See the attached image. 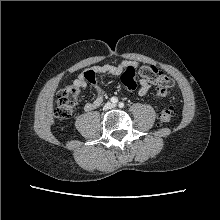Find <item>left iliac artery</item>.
I'll return each mask as SVG.
<instances>
[{"instance_id":"1","label":"left iliac artery","mask_w":220,"mask_h":220,"mask_svg":"<svg viewBox=\"0 0 220 220\" xmlns=\"http://www.w3.org/2000/svg\"><path fill=\"white\" fill-rule=\"evenodd\" d=\"M119 107H120V108H123V107H124V103H123V102H120V103H119Z\"/></svg>"}]
</instances>
